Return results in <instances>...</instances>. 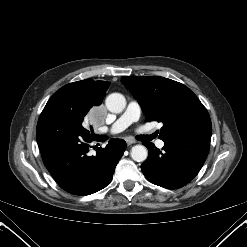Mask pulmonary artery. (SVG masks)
<instances>
[{
	"label": "pulmonary artery",
	"instance_id": "obj_1",
	"mask_svg": "<svg viewBox=\"0 0 247 247\" xmlns=\"http://www.w3.org/2000/svg\"><path fill=\"white\" fill-rule=\"evenodd\" d=\"M140 114L141 109L138 102L130 101L124 113L110 127V132L112 134H117L124 131L132 123L139 120ZM156 146L158 148H162L164 146V142L162 140H157Z\"/></svg>",
	"mask_w": 247,
	"mask_h": 247
}]
</instances>
